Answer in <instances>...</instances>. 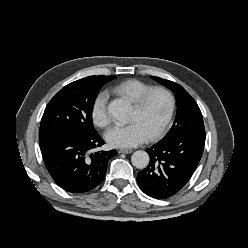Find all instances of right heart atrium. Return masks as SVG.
<instances>
[{
    "mask_svg": "<svg viewBox=\"0 0 248 248\" xmlns=\"http://www.w3.org/2000/svg\"><path fill=\"white\" fill-rule=\"evenodd\" d=\"M107 99V93L101 92L96 96L91 107L93 123L100 128H105L110 124V116L107 110Z\"/></svg>",
    "mask_w": 248,
    "mask_h": 248,
    "instance_id": "d8ad5b80",
    "label": "right heart atrium"
}]
</instances>
